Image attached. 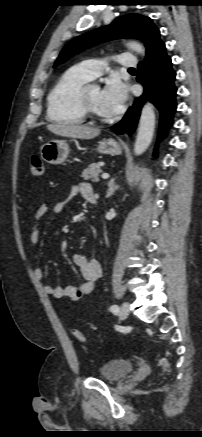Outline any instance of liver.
I'll list each match as a JSON object with an SVG mask.
<instances>
[{
    "instance_id": "6515ba94",
    "label": "liver",
    "mask_w": 202,
    "mask_h": 437,
    "mask_svg": "<svg viewBox=\"0 0 202 437\" xmlns=\"http://www.w3.org/2000/svg\"><path fill=\"white\" fill-rule=\"evenodd\" d=\"M47 129L58 136L78 139H92L100 134L99 128L68 123L48 124Z\"/></svg>"
}]
</instances>
